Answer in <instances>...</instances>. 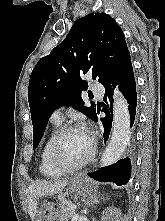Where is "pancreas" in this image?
Returning a JSON list of instances; mask_svg holds the SVG:
<instances>
[{"label":"pancreas","instance_id":"1","mask_svg":"<svg viewBox=\"0 0 165 221\" xmlns=\"http://www.w3.org/2000/svg\"><path fill=\"white\" fill-rule=\"evenodd\" d=\"M71 202L69 201H62L59 205L61 216L60 219L62 221H68L74 214V210L70 207Z\"/></svg>","mask_w":165,"mask_h":221}]
</instances>
